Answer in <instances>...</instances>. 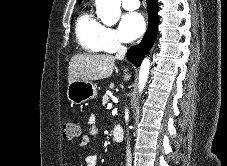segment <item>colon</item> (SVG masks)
<instances>
[{"mask_svg": "<svg viewBox=\"0 0 227 166\" xmlns=\"http://www.w3.org/2000/svg\"><path fill=\"white\" fill-rule=\"evenodd\" d=\"M63 135L67 140L75 139L79 136V128L73 119L63 121Z\"/></svg>", "mask_w": 227, "mask_h": 166, "instance_id": "1", "label": "colon"}]
</instances>
